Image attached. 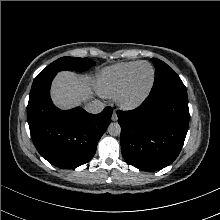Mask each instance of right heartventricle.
Segmentation results:
<instances>
[{"mask_svg":"<svg viewBox=\"0 0 220 220\" xmlns=\"http://www.w3.org/2000/svg\"><path fill=\"white\" fill-rule=\"evenodd\" d=\"M138 63L123 62L101 70L95 80L97 91L104 97L117 96L123 88L129 73Z\"/></svg>","mask_w":220,"mask_h":220,"instance_id":"right-heart-ventricle-1","label":"right heart ventricle"}]
</instances>
